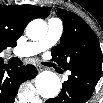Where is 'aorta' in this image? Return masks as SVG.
Returning a JSON list of instances; mask_svg holds the SVG:
<instances>
[{
  "label": "aorta",
  "mask_w": 103,
  "mask_h": 103,
  "mask_svg": "<svg viewBox=\"0 0 103 103\" xmlns=\"http://www.w3.org/2000/svg\"><path fill=\"white\" fill-rule=\"evenodd\" d=\"M47 24L42 19H34L26 27V35L29 39L37 41L47 34ZM35 87L41 97L50 99L58 95L61 87L59 77L50 71H44L37 75Z\"/></svg>",
  "instance_id": "aorta-1"
}]
</instances>
